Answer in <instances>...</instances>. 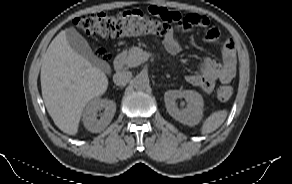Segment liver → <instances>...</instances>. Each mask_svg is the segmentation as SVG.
Wrapping results in <instances>:
<instances>
[{"instance_id":"1","label":"liver","mask_w":292,"mask_h":184,"mask_svg":"<svg viewBox=\"0 0 292 184\" xmlns=\"http://www.w3.org/2000/svg\"><path fill=\"white\" fill-rule=\"evenodd\" d=\"M65 33L61 31L50 43L40 81L46 109L55 125L64 133L75 135L84 107L105 93L108 78L70 47Z\"/></svg>"}]
</instances>
